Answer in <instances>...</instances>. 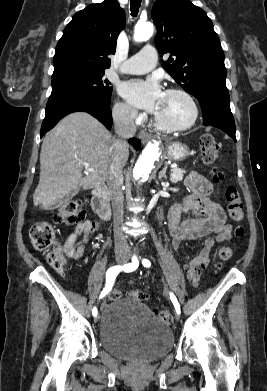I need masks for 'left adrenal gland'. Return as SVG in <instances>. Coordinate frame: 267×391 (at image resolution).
Returning <instances> with one entry per match:
<instances>
[{
  "label": "left adrenal gland",
  "instance_id": "obj_1",
  "mask_svg": "<svg viewBox=\"0 0 267 391\" xmlns=\"http://www.w3.org/2000/svg\"><path fill=\"white\" fill-rule=\"evenodd\" d=\"M166 169H167V165H165V167L160 171L159 175H158V178L161 179V178H165L167 179V176H166Z\"/></svg>",
  "mask_w": 267,
  "mask_h": 391
}]
</instances>
